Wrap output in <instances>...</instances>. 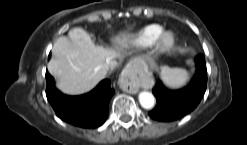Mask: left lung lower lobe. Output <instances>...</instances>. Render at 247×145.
<instances>
[{"mask_svg":"<svg viewBox=\"0 0 247 145\" xmlns=\"http://www.w3.org/2000/svg\"><path fill=\"white\" fill-rule=\"evenodd\" d=\"M197 75L191 83L180 90L170 91L159 81L152 92L157 105L149 112V116L158 121H173L188 114L201 101L207 85V69L203 55L196 57Z\"/></svg>","mask_w":247,"mask_h":145,"instance_id":"0a47b994","label":"left lung lower lobe"}]
</instances>
